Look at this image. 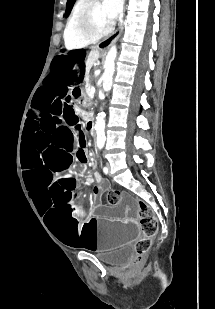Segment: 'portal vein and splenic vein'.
Here are the masks:
<instances>
[{
  "label": "portal vein and splenic vein",
  "mask_w": 215,
  "mask_h": 309,
  "mask_svg": "<svg viewBox=\"0 0 215 309\" xmlns=\"http://www.w3.org/2000/svg\"><path fill=\"white\" fill-rule=\"evenodd\" d=\"M96 88H94V86H91V88H89V92L88 94H94Z\"/></svg>",
  "instance_id": "1"
}]
</instances>
